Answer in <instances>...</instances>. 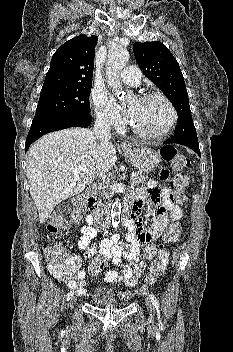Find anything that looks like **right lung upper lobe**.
<instances>
[{"mask_svg": "<svg viewBox=\"0 0 233 352\" xmlns=\"http://www.w3.org/2000/svg\"><path fill=\"white\" fill-rule=\"evenodd\" d=\"M95 35H79L54 53L43 87L92 85Z\"/></svg>", "mask_w": 233, "mask_h": 352, "instance_id": "cb5924a9", "label": "right lung upper lobe"}]
</instances>
